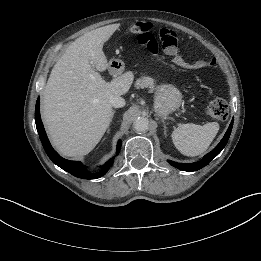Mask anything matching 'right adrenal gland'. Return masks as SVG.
<instances>
[{"label":"right adrenal gland","instance_id":"right-adrenal-gland-1","mask_svg":"<svg viewBox=\"0 0 261 261\" xmlns=\"http://www.w3.org/2000/svg\"><path fill=\"white\" fill-rule=\"evenodd\" d=\"M114 114H115V110H113V112H112V119H113ZM109 131H110V129H108L107 132L109 133Z\"/></svg>","mask_w":261,"mask_h":261}]
</instances>
